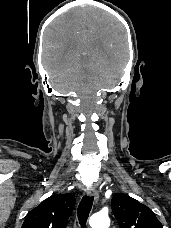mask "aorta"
Returning a JSON list of instances; mask_svg holds the SVG:
<instances>
[{
    "label": "aorta",
    "instance_id": "1",
    "mask_svg": "<svg viewBox=\"0 0 171 228\" xmlns=\"http://www.w3.org/2000/svg\"><path fill=\"white\" fill-rule=\"evenodd\" d=\"M91 228H109L110 219L107 214L97 213L90 218Z\"/></svg>",
    "mask_w": 171,
    "mask_h": 228
}]
</instances>
